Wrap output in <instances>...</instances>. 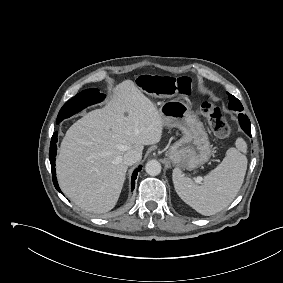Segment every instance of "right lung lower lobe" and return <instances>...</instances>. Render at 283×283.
<instances>
[{
  "instance_id": "right-lung-lower-lobe-1",
  "label": "right lung lower lobe",
  "mask_w": 283,
  "mask_h": 283,
  "mask_svg": "<svg viewBox=\"0 0 283 283\" xmlns=\"http://www.w3.org/2000/svg\"><path fill=\"white\" fill-rule=\"evenodd\" d=\"M56 143H57V132H55L52 136V140H51V144H50L49 157H50V163H51V168H52V176H53L54 186L59 192H61L60 188L58 186L57 178L55 176L56 175L55 156H56V151H57ZM141 168H142V166H139L132 174V180H131V188L132 189L135 185V179L137 177L138 171H140Z\"/></svg>"
}]
</instances>
